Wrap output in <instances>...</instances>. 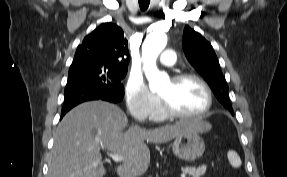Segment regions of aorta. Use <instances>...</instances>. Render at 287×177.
I'll use <instances>...</instances> for the list:
<instances>
[{
    "label": "aorta",
    "mask_w": 287,
    "mask_h": 177,
    "mask_svg": "<svg viewBox=\"0 0 287 177\" xmlns=\"http://www.w3.org/2000/svg\"><path fill=\"white\" fill-rule=\"evenodd\" d=\"M166 44V34L156 31L149 34L142 45L143 69L152 92L159 90L160 86L168 81V75L160 72L156 66V59Z\"/></svg>",
    "instance_id": "aorta-1"
}]
</instances>
